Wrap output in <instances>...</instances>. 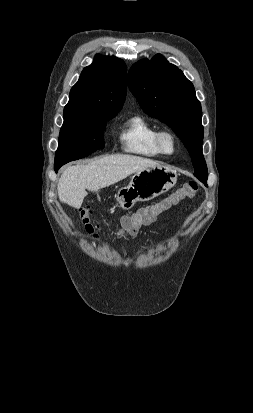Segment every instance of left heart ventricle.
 <instances>
[{
	"instance_id": "left-heart-ventricle-1",
	"label": "left heart ventricle",
	"mask_w": 253,
	"mask_h": 413,
	"mask_svg": "<svg viewBox=\"0 0 253 413\" xmlns=\"http://www.w3.org/2000/svg\"><path fill=\"white\" fill-rule=\"evenodd\" d=\"M164 146L167 151H171L172 149V142L169 138H166L164 141Z\"/></svg>"
}]
</instances>
